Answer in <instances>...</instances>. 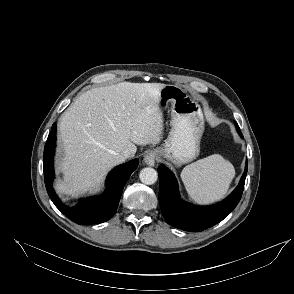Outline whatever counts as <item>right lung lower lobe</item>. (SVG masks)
<instances>
[{
    "mask_svg": "<svg viewBox=\"0 0 294 294\" xmlns=\"http://www.w3.org/2000/svg\"><path fill=\"white\" fill-rule=\"evenodd\" d=\"M56 142V123L52 125L44 148V180L49 197L55 206L69 219L80 225L108 221L116 213L122 190L139 161L134 159L113 169L106 180V191L101 196L82 200L75 207L64 206L55 194L52 182L54 179L53 156Z\"/></svg>",
    "mask_w": 294,
    "mask_h": 294,
    "instance_id": "1",
    "label": "right lung lower lobe"
}]
</instances>
